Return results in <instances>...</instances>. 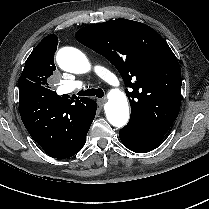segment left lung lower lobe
<instances>
[{
	"instance_id": "0a47b994",
	"label": "left lung lower lobe",
	"mask_w": 209,
	"mask_h": 209,
	"mask_svg": "<svg viewBox=\"0 0 209 209\" xmlns=\"http://www.w3.org/2000/svg\"><path fill=\"white\" fill-rule=\"evenodd\" d=\"M119 137L129 150L146 153L157 148L164 135L151 130L135 119H130L128 124L119 131Z\"/></svg>"
}]
</instances>
